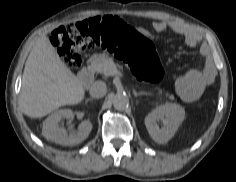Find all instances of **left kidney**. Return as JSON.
Listing matches in <instances>:
<instances>
[{
    "mask_svg": "<svg viewBox=\"0 0 236 182\" xmlns=\"http://www.w3.org/2000/svg\"><path fill=\"white\" fill-rule=\"evenodd\" d=\"M185 118V110L182 106L173 103H165L154 108L145 117V126L151 138L160 144L170 140ZM161 121L159 127L157 122Z\"/></svg>",
    "mask_w": 236,
    "mask_h": 182,
    "instance_id": "1",
    "label": "left kidney"
}]
</instances>
